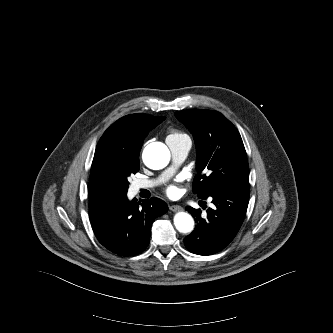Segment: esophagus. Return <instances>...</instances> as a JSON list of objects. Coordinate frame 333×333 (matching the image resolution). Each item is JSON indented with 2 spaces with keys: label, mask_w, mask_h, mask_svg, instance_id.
I'll list each match as a JSON object with an SVG mask.
<instances>
[{
  "label": "esophagus",
  "mask_w": 333,
  "mask_h": 333,
  "mask_svg": "<svg viewBox=\"0 0 333 333\" xmlns=\"http://www.w3.org/2000/svg\"><path fill=\"white\" fill-rule=\"evenodd\" d=\"M169 209L173 212L181 211L183 208L180 205H171Z\"/></svg>",
  "instance_id": "34e87169"
}]
</instances>
